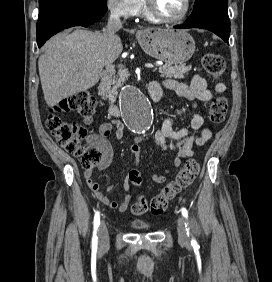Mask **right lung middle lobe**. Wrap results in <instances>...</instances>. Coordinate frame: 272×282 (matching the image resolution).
<instances>
[{"label":"right lung middle lobe","mask_w":272,"mask_h":282,"mask_svg":"<svg viewBox=\"0 0 272 282\" xmlns=\"http://www.w3.org/2000/svg\"><path fill=\"white\" fill-rule=\"evenodd\" d=\"M61 1H82V2H92V3L107 5V0H39V6L40 8H42L48 4L61 2Z\"/></svg>","instance_id":"obj_1"}]
</instances>
